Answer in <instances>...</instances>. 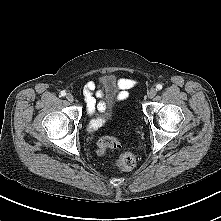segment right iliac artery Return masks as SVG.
Returning <instances> with one entry per match:
<instances>
[{"instance_id": "82829eb1", "label": "right iliac artery", "mask_w": 221, "mask_h": 221, "mask_svg": "<svg viewBox=\"0 0 221 221\" xmlns=\"http://www.w3.org/2000/svg\"><path fill=\"white\" fill-rule=\"evenodd\" d=\"M60 95H61V96H65V95H66V92L63 90V91H61Z\"/></svg>"}]
</instances>
